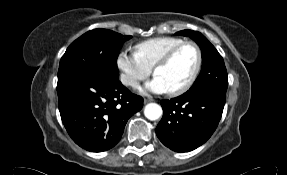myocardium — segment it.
Returning a JSON list of instances; mask_svg holds the SVG:
<instances>
[{"label": "myocardium", "instance_id": "obj_1", "mask_svg": "<svg viewBox=\"0 0 287 175\" xmlns=\"http://www.w3.org/2000/svg\"><path fill=\"white\" fill-rule=\"evenodd\" d=\"M187 45H191L195 48L196 52H197V64L195 67V70L193 72V74L191 75V77L189 78V80L182 85L181 87L175 89V90H171L168 91V93L172 96H179L184 94L185 92H187L197 81L200 72L202 70V65H203V53L202 50L200 48V46L191 40H186L181 42L180 44L172 47L169 51H167L153 66L152 72L155 75L156 71L158 68L168 64L172 58L175 56V54L182 49L183 47L187 46Z\"/></svg>", "mask_w": 287, "mask_h": 175}]
</instances>
